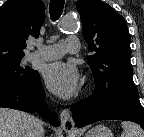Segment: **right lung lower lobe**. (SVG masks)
Here are the masks:
<instances>
[{
  "instance_id": "98d812e1",
  "label": "right lung lower lobe",
  "mask_w": 144,
  "mask_h": 137,
  "mask_svg": "<svg viewBox=\"0 0 144 137\" xmlns=\"http://www.w3.org/2000/svg\"><path fill=\"white\" fill-rule=\"evenodd\" d=\"M45 91L40 79L29 88L6 85L0 86V107L22 110L25 112H39L52 125L58 126L56 113H49L45 104Z\"/></svg>"
}]
</instances>
